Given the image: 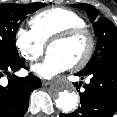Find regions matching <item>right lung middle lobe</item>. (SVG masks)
<instances>
[{
	"label": "right lung middle lobe",
	"mask_w": 117,
	"mask_h": 117,
	"mask_svg": "<svg viewBox=\"0 0 117 117\" xmlns=\"http://www.w3.org/2000/svg\"><path fill=\"white\" fill-rule=\"evenodd\" d=\"M45 3L0 4V61L19 58L15 35L20 23Z\"/></svg>",
	"instance_id": "1"
}]
</instances>
